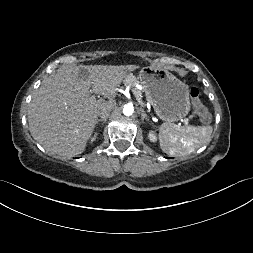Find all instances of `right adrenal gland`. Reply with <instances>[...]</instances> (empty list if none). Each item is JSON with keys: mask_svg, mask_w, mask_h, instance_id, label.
I'll list each match as a JSON object with an SVG mask.
<instances>
[{"mask_svg": "<svg viewBox=\"0 0 253 253\" xmlns=\"http://www.w3.org/2000/svg\"><path fill=\"white\" fill-rule=\"evenodd\" d=\"M108 119V116H106V117H103V118H101V119H98L97 120V124L99 123V122H103V124L106 122V120Z\"/></svg>", "mask_w": 253, "mask_h": 253, "instance_id": "obj_1", "label": "right adrenal gland"}]
</instances>
